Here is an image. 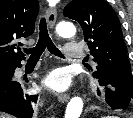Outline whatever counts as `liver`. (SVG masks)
Here are the masks:
<instances>
[{"label":"liver","mask_w":133,"mask_h":118,"mask_svg":"<svg viewBox=\"0 0 133 118\" xmlns=\"http://www.w3.org/2000/svg\"><path fill=\"white\" fill-rule=\"evenodd\" d=\"M0 118H12L10 115L4 114L0 112Z\"/></svg>","instance_id":"liver-1"}]
</instances>
